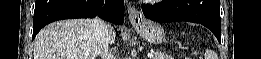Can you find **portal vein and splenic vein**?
Returning a JSON list of instances; mask_svg holds the SVG:
<instances>
[{
  "mask_svg": "<svg viewBox=\"0 0 261 59\" xmlns=\"http://www.w3.org/2000/svg\"><path fill=\"white\" fill-rule=\"evenodd\" d=\"M148 57L149 58L153 57V53L152 52L148 53Z\"/></svg>",
  "mask_w": 261,
  "mask_h": 59,
  "instance_id": "18ae733b",
  "label": "portal vein and splenic vein"
}]
</instances>
